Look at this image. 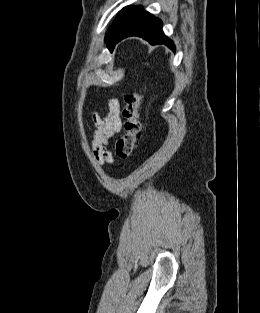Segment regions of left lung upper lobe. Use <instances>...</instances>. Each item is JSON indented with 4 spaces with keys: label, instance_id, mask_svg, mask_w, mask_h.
<instances>
[{
    "label": "left lung upper lobe",
    "instance_id": "obj_1",
    "mask_svg": "<svg viewBox=\"0 0 260 313\" xmlns=\"http://www.w3.org/2000/svg\"><path fill=\"white\" fill-rule=\"evenodd\" d=\"M144 12L141 6H126L118 12L117 17L105 36L110 51L113 50L124 32L138 19Z\"/></svg>",
    "mask_w": 260,
    "mask_h": 313
}]
</instances>
